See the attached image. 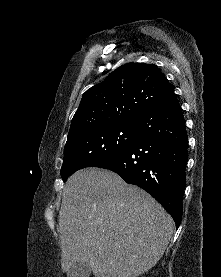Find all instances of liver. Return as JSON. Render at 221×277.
Wrapping results in <instances>:
<instances>
[{
    "label": "liver",
    "instance_id": "obj_1",
    "mask_svg": "<svg viewBox=\"0 0 221 277\" xmlns=\"http://www.w3.org/2000/svg\"><path fill=\"white\" fill-rule=\"evenodd\" d=\"M58 231L63 272L82 261L95 277H138L163 256L174 223L141 188L112 171L88 168L65 184Z\"/></svg>",
    "mask_w": 221,
    "mask_h": 277
}]
</instances>
